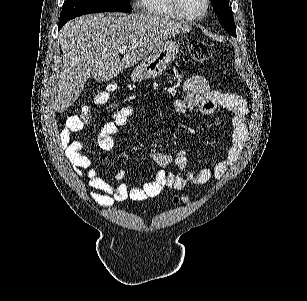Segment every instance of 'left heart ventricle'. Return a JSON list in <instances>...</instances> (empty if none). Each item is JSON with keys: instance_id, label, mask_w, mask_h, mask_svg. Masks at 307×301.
Segmentation results:
<instances>
[{"instance_id": "obj_1", "label": "left heart ventricle", "mask_w": 307, "mask_h": 301, "mask_svg": "<svg viewBox=\"0 0 307 301\" xmlns=\"http://www.w3.org/2000/svg\"><path fill=\"white\" fill-rule=\"evenodd\" d=\"M200 0H183L179 2L178 13H189V11H199Z\"/></svg>"}]
</instances>
